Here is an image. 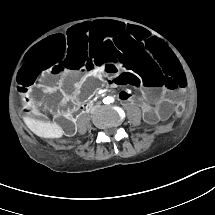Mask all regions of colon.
<instances>
[{"label":"colon","mask_w":215,"mask_h":215,"mask_svg":"<svg viewBox=\"0 0 215 215\" xmlns=\"http://www.w3.org/2000/svg\"><path fill=\"white\" fill-rule=\"evenodd\" d=\"M183 110H184L183 107H179V108L177 109V111H176V115H177L178 117H180V116L182 115V113H183Z\"/></svg>","instance_id":"1"}]
</instances>
